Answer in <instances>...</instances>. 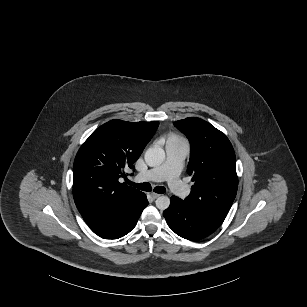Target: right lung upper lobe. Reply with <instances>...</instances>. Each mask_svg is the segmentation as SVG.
Masks as SVG:
<instances>
[{
  "label": "right lung upper lobe",
  "mask_w": 307,
  "mask_h": 307,
  "mask_svg": "<svg viewBox=\"0 0 307 307\" xmlns=\"http://www.w3.org/2000/svg\"><path fill=\"white\" fill-rule=\"evenodd\" d=\"M159 122L111 120L96 129L79 149L73 166V196L87 224L103 218L142 192L120 183L133 168Z\"/></svg>",
  "instance_id": "right-lung-upper-lobe-1"
}]
</instances>
